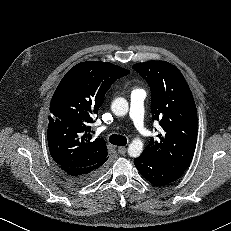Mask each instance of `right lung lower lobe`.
Instances as JSON below:
<instances>
[{
	"instance_id": "obj_1",
	"label": "right lung lower lobe",
	"mask_w": 231,
	"mask_h": 231,
	"mask_svg": "<svg viewBox=\"0 0 231 231\" xmlns=\"http://www.w3.org/2000/svg\"><path fill=\"white\" fill-rule=\"evenodd\" d=\"M108 159V158H107ZM98 163L91 167H62L59 166L64 177L72 184L85 185L94 181L102 172L104 163Z\"/></svg>"
}]
</instances>
